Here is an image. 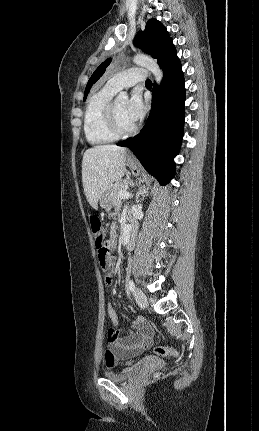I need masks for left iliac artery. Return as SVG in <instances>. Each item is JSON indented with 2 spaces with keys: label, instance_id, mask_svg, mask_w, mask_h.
<instances>
[{
  "label": "left iliac artery",
  "instance_id": "1",
  "mask_svg": "<svg viewBox=\"0 0 259 431\" xmlns=\"http://www.w3.org/2000/svg\"><path fill=\"white\" fill-rule=\"evenodd\" d=\"M128 286H129L130 291L133 292L135 289V285H134V282L132 280L128 281Z\"/></svg>",
  "mask_w": 259,
  "mask_h": 431
}]
</instances>
